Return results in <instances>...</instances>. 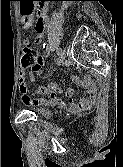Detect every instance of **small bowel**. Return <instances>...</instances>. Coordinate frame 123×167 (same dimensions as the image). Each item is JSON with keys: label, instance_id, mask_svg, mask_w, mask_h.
<instances>
[{"label": "small bowel", "instance_id": "obj_1", "mask_svg": "<svg viewBox=\"0 0 123 167\" xmlns=\"http://www.w3.org/2000/svg\"><path fill=\"white\" fill-rule=\"evenodd\" d=\"M22 17H31V13L34 12L33 5L34 1H19ZM43 30L39 32L38 38L36 42H39ZM44 64L43 59L40 61V65L37 68H33L32 71L36 74H40L42 72V66ZM72 81L78 86L82 87L87 91L86 96H82L77 101L74 100V92L72 89H68L65 92V96L67 99H63L61 97L62 89L56 84H48L45 86H41L38 88V94L41 97L31 98L28 95V86L26 83V74L22 69L19 73V81H20V93L21 98L26 104H39L46 106H54V105H67L73 110H86L90 108L96 101L97 97V86L96 84L88 77L84 79H80L77 76L71 77Z\"/></svg>", "mask_w": 123, "mask_h": 167}]
</instances>
